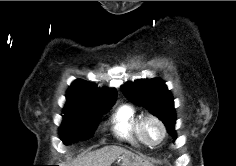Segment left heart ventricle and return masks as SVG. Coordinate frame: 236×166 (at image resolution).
Segmentation results:
<instances>
[{
	"instance_id": "left-heart-ventricle-1",
	"label": "left heart ventricle",
	"mask_w": 236,
	"mask_h": 166,
	"mask_svg": "<svg viewBox=\"0 0 236 166\" xmlns=\"http://www.w3.org/2000/svg\"><path fill=\"white\" fill-rule=\"evenodd\" d=\"M145 131L148 139L153 142H156L161 136L160 127L153 121L147 123Z\"/></svg>"
}]
</instances>
